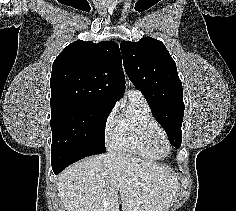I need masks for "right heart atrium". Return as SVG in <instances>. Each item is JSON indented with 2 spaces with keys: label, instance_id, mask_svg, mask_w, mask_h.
<instances>
[{
  "label": "right heart atrium",
  "instance_id": "right-heart-atrium-1",
  "mask_svg": "<svg viewBox=\"0 0 236 211\" xmlns=\"http://www.w3.org/2000/svg\"><path fill=\"white\" fill-rule=\"evenodd\" d=\"M115 122H116V109L113 108L108 112L103 123V135L107 142L110 140L112 136Z\"/></svg>",
  "mask_w": 236,
  "mask_h": 211
}]
</instances>
